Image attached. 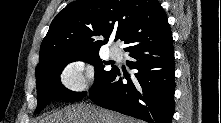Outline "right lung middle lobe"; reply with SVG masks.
I'll use <instances>...</instances> for the list:
<instances>
[{
  "label": "right lung middle lobe",
  "mask_w": 221,
  "mask_h": 123,
  "mask_svg": "<svg viewBox=\"0 0 221 123\" xmlns=\"http://www.w3.org/2000/svg\"><path fill=\"white\" fill-rule=\"evenodd\" d=\"M79 60L95 65V83L92 87H95L102 82L114 69L112 68L109 71L105 70V65L99 57V51L66 56L37 67L36 80L38 105L36 113L43 110L52 100H79L86 96V92H73L66 89L59 78L62 70L67 64Z\"/></svg>",
  "instance_id": "1"
}]
</instances>
